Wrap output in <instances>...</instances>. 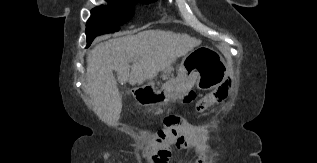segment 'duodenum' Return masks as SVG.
<instances>
[{
	"label": "duodenum",
	"instance_id": "duodenum-1",
	"mask_svg": "<svg viewBox=\"0 0 317 163\" xmlns=\"http://www.w3.org/2000/svg\"><path fill=\"white\" fill-rule=\"evenodd\" d=\"M132 95H138L139 93H140V90H138V89H134V90H132Z\"/></svg>",
	"mask_w": 317,
	"mask_h": 163
}]
</instances>
